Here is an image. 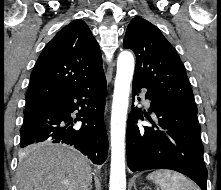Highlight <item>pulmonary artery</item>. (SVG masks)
I'll return each instance as SVG.
<instances>
[{
	"mask_svg": "<svg viewBox=\"0 0 221 190\" xmlns=\"http://www.w3.org/2000/svg\"><path fill=\"white\" fill-rule=\"evenodd\" d=\"M146 101H147L148 104L150 103L148 99Z\"/></svg>",
	"mask_w": 221,
	"mask_h": 190,
	"instance_id": "obj_1",
	"label": "pulmonary artery"
}]
</instances>
